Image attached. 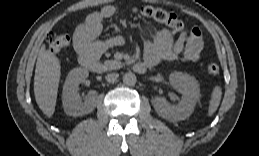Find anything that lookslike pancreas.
Wrapping results in <instances>:
<instances>
[{"mask_svg":"<svg viewBox=\"0 0 259 156\" xmlns=\"http://www.w3.org/2000/svg\"><path fill=\"white\" fill-rule=\"evenodd\" d=\"M123 66V64L118 60H106L104 62V67L107 70H116Z\"/></svg>","mask_w":259,"mask_h":156,"instance_id":"1","label":"pancreas"}]
</instances>
